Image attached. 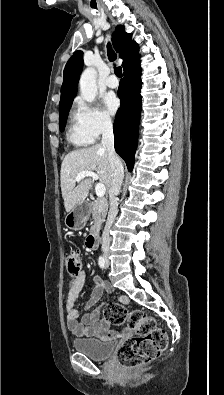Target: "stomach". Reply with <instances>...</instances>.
Wrapping results in <instances>:
<instances>
[{
  "label": "stomach",
  "instance_id": "stomach-1",
  "mask_svg": "<svg viewBox=\"0 0 224 395\" xmlns=\"http://www.w3.org/2000/svg\"><path fill=\"white\" fill-rule=\"evenodd\" d=\"M90 216L87 202L77 204L65 217V225L71 230H80L85 227Z\"/></svg>",
  "mask_w": 224,
  "mask_h": 395
}]
</instances>
